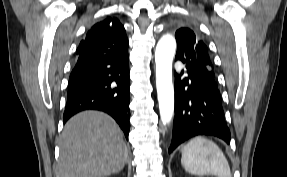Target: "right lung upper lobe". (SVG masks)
I'll return each instance as SVG.
<instances>
[{"instance_id": "1", "label": "right lung upper lobe", "mask_w": 287, "mask_h": 177, "mask_svg": "<svg viewBox=\"0 0 287 177\" xmlns=\"http://www.w3.org/2000/svg\"><path fill=\"white\" fill-rule=\"evenodd\" d=\"M125 29L123 25L119 22L117 18H106L103 21L96 23L87 33V35L96 36H112L115 34L124 33ZM86 46L83 41H81L76 54L80 56L84 53Z\"/></svg>"}]
</instances>
